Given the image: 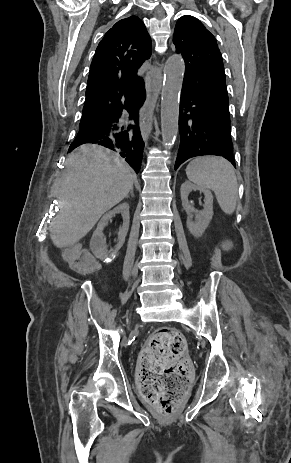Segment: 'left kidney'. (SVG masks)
Here are the masks:
<instances>
[{
  "label": "left kidney",
  "mask_w": 291,
  "mask_h": 463,
  "mask_svg": "<svg viewBox=\"0 0 291 463\" xmlns=\"http://www.w3.org/2000/svg\"><path fill=\"white\" fill-rule=\"evenodd\" d=\"M193 190H199L204 194V209L201 211L196 210L188 200V195ZM180 192L182 206L188 214L187 228L194 237H201L212 220L213 195L208 189L194 185L189 181H185L181 185Z\"/></svg>",
  "instance_id": "5707ae66"
}]
</instances>
